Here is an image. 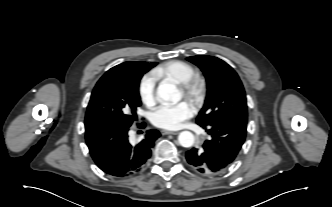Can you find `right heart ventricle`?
Segmentation results:
<instances>
[{"label": "right heart ventricle", "instance_id": "right-heart-ventricle-1", "mask_svg": "<svg viewBox=\"0 0 332 207\" xmlns=\"http://www.w3.org/2000/svg\"><path fill=\"white\" fill-rule=\"evenodd\" d=\"M195 74L194 67L181 60H171L156 68L153 75L160 79H170L182 84Z\"/></svg>", "mask_w": 332, "mask_h": 207}]
</instances>
